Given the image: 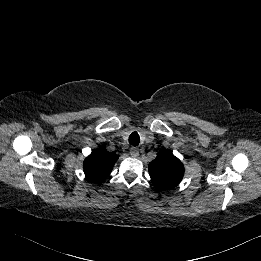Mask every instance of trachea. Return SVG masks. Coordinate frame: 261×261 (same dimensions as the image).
<instances>
[{
    "instance_id": "trachea-1",
    "label": "trachea",
    "mask_w": 261,
    "mask_h": 261,
    "mask_svg": "<svg viewBox=\"0 0 261 261\" xmlns=\"http://www.w3.org/2000/svg\"><path fill=\"white\" fill-rule=\"evenodd\" d=\"M140 142V137L139 134L137 132H133L130 136H129V143L133 146H138Z\"/></svg>"
}]
</instances>
